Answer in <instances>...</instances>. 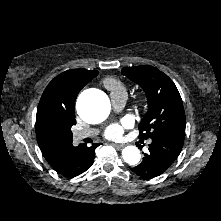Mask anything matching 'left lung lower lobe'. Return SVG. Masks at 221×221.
<instances>
[{
  "instance_id": "0a47b994",
  "label": "left lung lower lobe",
  "mask_w": 221,
  "mask_h": 221,
  "mask_svg": "<svg viewBox=\"0 0 221 221\" xmlns=\"http://www.w3.org/2000/svg\"><path fill=\"white\" fill-rule=\"evenodd\" d=\"M149 152L144 154L143 161L131 171L144 178H154L163 174L177 159L184 138L174 136H155L151 138Z\"/></svg>"
}]
</instances>
